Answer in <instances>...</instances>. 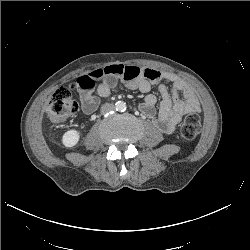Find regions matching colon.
Listing matches in <instances>:
<instances>
[{"instance_id": "obj_1", "label": "colon", "mask_w": 250, "mask_h": 250, "mask_svg": "<svg viewBox=\"0 0 250 250\" xmlns=\"http://www.w3.org/2000/svg\"><path fill=\"white\" fill-rule=\"evenodd\" d=\"M75 88L74 84L63 86L57 90L51 97L46 115L52 123H60L78 111V104L72 98V91ZM201 129V122L198 115L191 113L187 115L181 123L180 131L184 138L194 139Z\"/></svg>"}]
</instances>
